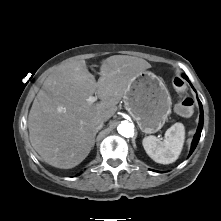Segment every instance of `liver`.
<instances>
[{"label": "liver", "mask_w": 221, "mask_h": 221, "mask_svg": "<svg viewBox=\"0 0 221 221\" xmlns=\"http://www.w3.org/2000/svg\"><path fill=\"white\" fill-rule=\"evenodd\" d=\"M148 68L144 59L113 55L102 61L98 81L84 60L50 75L28 116L29 139L41 159L62 169L80 164L93 147L91 122L109 120L132 80ZM94 94L100 102L88 103Z\"/></svg>", "instance_id": "liver-1"}]
</instances>
